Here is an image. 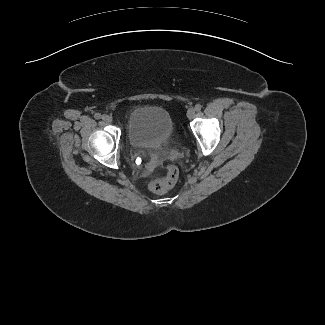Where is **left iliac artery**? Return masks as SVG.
Returning a JSON list of instances; mask_svg holds the SVG:
<instances>
[{"mask_svg": "<svg viewBox=\"0 0 325 325\" xmlns=\"http://www.w3.org/2000/svg\"><path fill=\"white\" fill-rule=\"evenodd\" d=\"M201 108H202V105L201 104L198 103V104L195 105V110L196 111H200Z\"/></svg>", "mask_w": 325, "mask_h": 325, "instance_id": "obj_1", "label": "left iliac artery"}]
</instances>
